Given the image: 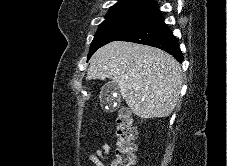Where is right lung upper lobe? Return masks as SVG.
I'll return each mask as SVG.
<instances>
[{
	"instance_id": "cb5924a9",
	"label": "right lung upper lobe",
	"mask_w": 227,
	"mask_h": 166,
	"mask_svg": "<svg viewBox=\"0 0 227 166\" xmlns=\"http://www.w3.org/2000/svg\"><path fill=\"white\" fill-rule=\"evenodd\" d=\"M116 5H147V6H157L158 4L155 3L153 0H119Z\"/></svg>"
}]
</instances>
